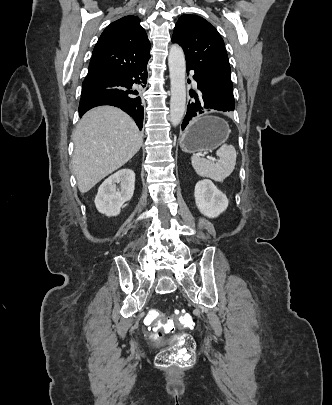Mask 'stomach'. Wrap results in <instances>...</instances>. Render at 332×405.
<instances>
[{"label":"stomach","mask_w":332,"mask_h":405,"mask_svg":"<svg viewBox=\"0 0 332 405\" xmlns=\"http://www.w3.org/2000/svg\"><path fill=\"white\" fill-rule=\"evenodd\" d=\"M230 129L223 119L204 115L192 120L180 138L182 150L188 153L212 151L224 144Z\"/></svg>","instance_id":"obj_1"}]
</instances>
